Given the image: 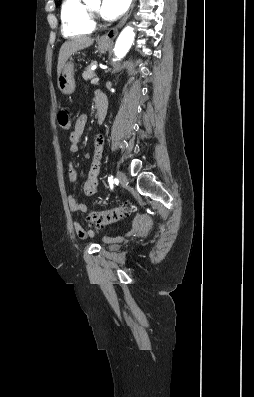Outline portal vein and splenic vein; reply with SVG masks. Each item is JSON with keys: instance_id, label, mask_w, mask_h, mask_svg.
Masks as SVG:
<instances>
[{"instance_id": "1", "label": "portal vein and splenic vein", "mask_w": 254, "mask_h": 397, "mask_svg": "<svg viewBox=\"0 0 254 397\" xmlns=\"http://www.w3.org/2000/svg\"><path fill=\"white\" fill-rule=\"evenodd\" d=\"M99 82V78L95 77L91 80V84H97Z\"/></svg>"}]
</instances>
